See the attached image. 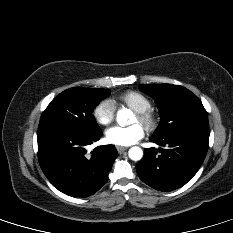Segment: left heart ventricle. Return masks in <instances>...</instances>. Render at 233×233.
<instances>
[{
    "label": "left heart ventricle",
    "mask_w": 233,
    "mask_h": 233,
    "mask_svg": "<svg viewBox=\"0 0 233 233\" xmlns=\"http://www.w3.org/2000/svg\"><path fill=\"white\" fill-rule=\"evenodd\" d=\"M133 122H134V123H138L137 117L134 118Z\"/></svg>",
    "instance_id": "b2bd125f"
}]
</instances>
